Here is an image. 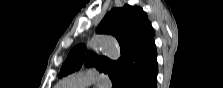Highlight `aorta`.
<instances>
[{
    "label": "aorta",
    "mask_w": 223,
    "mask_h": 88,
    "mask_svg": "<svg viewBox=\"0 0 223 88\" xmlns=\"http://www.w3.org/2000/svg\"><path fill=\"white\" fill-rule=\"evenodd\" d=\"M92 49L99 50L111 60H117L120 57V47L117 40L108 35H96L89 41Z\"/></svg>",
    "instance_id": "aorta-1"
}]
</instances>
